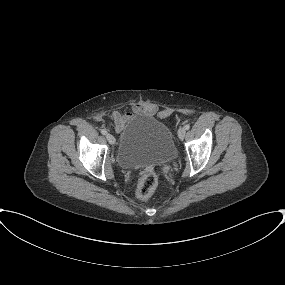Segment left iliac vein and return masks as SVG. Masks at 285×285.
I'll return each mask as SVG.
<instances>
[{
	"mask_svg": "<svg viewBox=\"0 0 285 285\" xmlns=\"http://www.w3.org/2000/svg\"><path fill=\"white\" fill-rule=\"evenodd\" d=\"M185 134H186L185 128H183V127L179 128V130H178V137L180 139H183L185 137Z\"/></svg>",
	"mask_w": 285,
	"mask_h": 285,
	"instance_id": "4c4485c4",
	"label": "left iliac vein"
}]
</instances>
